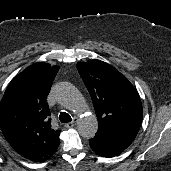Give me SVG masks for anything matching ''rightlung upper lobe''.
Returning a JSON list of instances; mask_svg holds the SVG:
<instances>
[{
  "mask_svg": "<svg viewBox=\"0 0 171 171\" xmlns=\"http://www.w3.org/2000/svg\"><path fill=\"white\" fill-rule=\"evenodd\" d=\"M58 70V66L48 63L29 66L11 80L0 103L5 138L17 153L33 161H46L60 143V131L51 128L46 103Z\"/></svg>",
  "mask_w": 171,
  "mask_h": 171,
  "instance_id": "1",
  "label": "right lung upper lobe"
}]
</instances>
